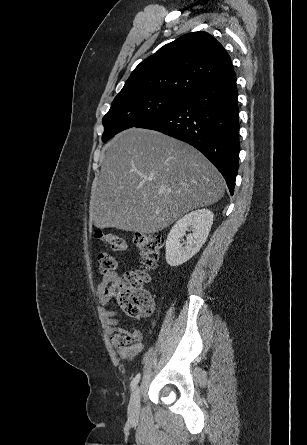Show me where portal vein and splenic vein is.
Instances as JSON below:
<instances>
[{
    "mask_svg": "<svg viewBox=\"0 0 307 445\" xmlns=\"http://www.w3.org/2000/svg\"><path fill=\"white\" fill-rule=\"evenodd\" d=\"M149 180H153V178H149Z\"/></svg>",
    "mask_w": 307,
    "mask_h": 445,
    "instance_id": "portal-vein-and-splenic-vein-1",
    "label": "portal vein and splenic vein"
}]
</instances>
